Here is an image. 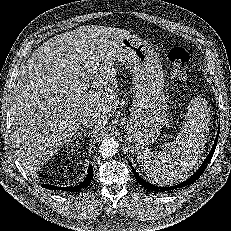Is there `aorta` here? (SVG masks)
<instances>
[{
  "instance_id": "aorta-1",
  "label": "aorta",
  "mask_w": 231,
  "mask_h": 231,
  "mask_svg": "<svg viewBox=\"0 0 231 231\" xmlns=\"http://www.w3.org/2000/svg\"><path fill=\"white\" fill-rule=\"evenodd\" d=\"M118 147L119 143L114 137H107L101 142L99 153L103 158H109L117 153Z\"/></svg>"
}]
</instances>
